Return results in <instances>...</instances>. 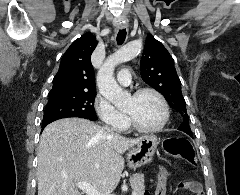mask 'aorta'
<instances>
[{"instance_id": "1", "label": "aorta", "mask_w": 240, "mask_h": 195, "mask_svg": "<svg viewBox=\"0 0 240 195\" xmlns=\"http://www.w3.org/2000/svg\"><path fill=\"white\" fill-rule=\"evenodd\" d=\"M141 48V42H129V44H126V46L117 50L115 54L108 56L103 66L98 70L96 82L99 92L102 94L103 98L114 103L116 107H119L120 101L125 98V92L121 90L114 78L115 66L136 58Z\"/></svg>"}]
</instances>
